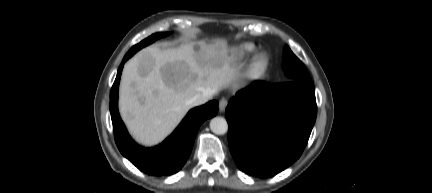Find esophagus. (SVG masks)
Here are the masks:
<instances>
[{
  "label": "esophagus",
  "mask_w": 432,
  "mask_h": 193,
  "mask_svg": "<svg viewBox=\"0 0 432 193\" xmlns=\"http://www.w3.org/2000/svg\"><path fill=\"white\" fill-rule=\"evenodd\" d=\"M227 105H228V100L226 98H222L219 101V110H220V112H224L225 109H226V107H227Z\"/></svg>",
  "instance_id": "1"
}]
</instances>
